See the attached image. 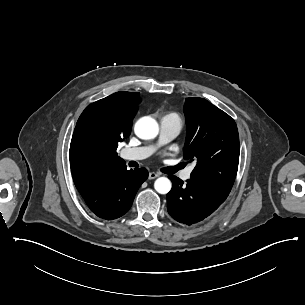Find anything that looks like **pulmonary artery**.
Here are the masks:
<instances>
[{
  "label": "pulmonary artery",
  "instance_id": "obj_1",
  "mask_svg": "<svg viewBox=\"0 0 305 305\" xmlns=\"http://www.w3.org/2000/svg\"><path fill=\"white\" fill-rule=\"evenodd\" d=\"M182 129V121L172 115H166L160 120L159 144L173 140ZM156 149V146H144L137 148H128L123 151L122 157L128 161H139L148 158ZM194 167H190L181 174V179L186 181L191 177Z\"/></svg>",
  "mask_w": 305,
  "mask_h": 305
}]
</instances>
